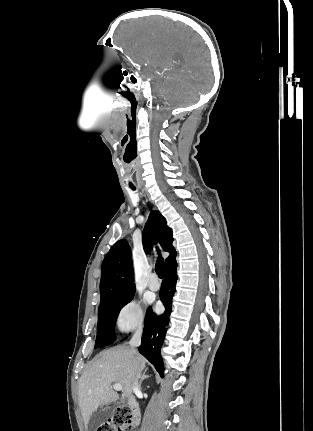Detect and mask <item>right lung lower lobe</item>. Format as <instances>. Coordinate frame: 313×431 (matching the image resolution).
<instances>
[{"label": "right lung lower lobe", "instance_id": "98d812e1", "mask_svg": "<svg viewBox=\"0 0 313 431\" xmlns=\"http://www.w3.org/2000/svg\"><path fill=\"white\" fill-rule=\"evenodd\" d=\"M175 258L176 255L166 264L164 280L160 290V299L165 307V312L157 316L153 313L151 307L147 310L142 344L139 347V352L155 366L161 375H163V361L160 348L166 334V326L168 325L172 310V297L175 293L177 281V263Z\"/></svg>", "mask_w": 313, "mask_h": 431}]
</instances>
